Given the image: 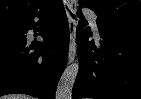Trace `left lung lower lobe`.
<instances>
[{
    "label": "left lung lower lobe",
    "instance_id": "obj_1",
    "mask_svg": "<svg viewBox=\"0 0 141 99\" xmlns=\"http://www.w3.org/2000/svg\"><path fill=\"white\" fill-rule=\"evenodd\" d=\"M77 28L80 69L72 98L141 99V26L118 25L97 18L100 49L88 41L81 11Z\"/></svg>",
    "mask_w": 141,
    "mask_h": 99
}]
</instances>
